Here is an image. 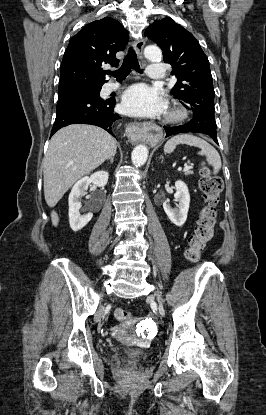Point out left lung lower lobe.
I'll use <instances>...</instances> for the list:
<instances>
[{"mask_svg":"<svg viewBox=\"0 0 266 415\" xmlns=\"http://www.w3.org/2000/svg\"><path fill=\"white\" fill-rule=\"evenodd\" d=\"M164 129L166 132V137L177 134V133H186V132L204 133V134L209 135L219 145L218 140H217V134L198 130L188 124L180 125L177 127L164 126Z\"/></svg>","mask_w":266,"mask_h":415,"instance_id":"obj_1","label":"left lung lower lobe"}]
</instances>
